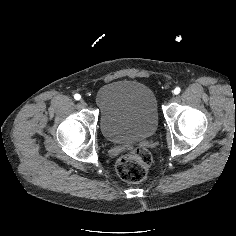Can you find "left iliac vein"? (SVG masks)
<instances>
[{
	"label": "left iliac vein",
	"instance_id": "4c4485c4",
	"mask_svg": "<svg viewBox=\"0 0 236 236\" xmlns=\"http://www.w3.org/2000/svg\"><path fill=\"white\" fill-rule=\"evenodd\" d=\"M169 99H170V101L174 102V101H176L177 98H176V95L174 93H171L169 95Z\"/></svg>",
	"mask_w": 236,
	"mask_h": 236
}]
</instances>
